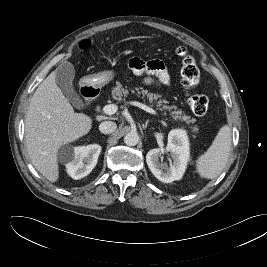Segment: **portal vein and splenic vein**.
<instances>
[{
    "instance_id": "1",
    "label": "portal vein and splenic vein",
    "mask_w": 267,
    "mask_h": 267,
    "mask_svg": "<svg viewBox=\"0 0 267 267\" xmlns=\"http://www.w3.org/2000/svg\"><path fill=\"white\" fill-rule=\"evenodd\" d=\"M130 104L134 105L136 107H139L140 109H142V110H144V111H146V112H148L150 114H153V115H157L158 114L154 109H152L149 106H147L145 104H142L140 102L133 101V102H130ZM102 110L107 115H113V114H115L117 112L118 106L115 105V104H109V105H105Z\"/></svg>"
}]
</instances>
